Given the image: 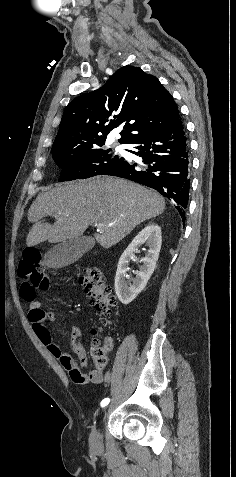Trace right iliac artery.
I'll return each mask as SVG.
<instances>
[{
    "instance_id": "1",
    "label": "right iliac artery",
    "mask_w": 236,
    "mask_h": 477,
    "mask_svg": "<svg viewBox=\"0 0 236 477\" xmlns=\"http://www.w3.org/2000/svg\"><path fill=\"white\" fill-rule=\"evenodd\" d=\"M110 402V399L109 398H104L102 401H101V407H105L109 404Z\"/></svg>"
}]
</instances>
